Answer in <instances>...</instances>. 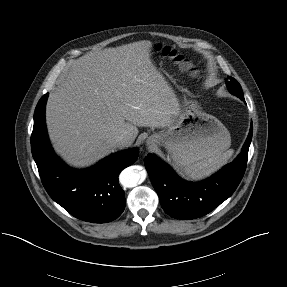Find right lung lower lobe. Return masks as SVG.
<instances>
[{"mask_svg":"<svg viewBox=\"0 0 287 287\" xmlns=\"http://www.w3.org/2000/svg\"><path fill=\"white\" fill-rule=\"evenodd\" d=\"M47 98L48 93L36 106L31 135L32 155L47 193L78 219L93 223L115 220L125 208V195L118 176L137 160L138 148L112 154L88 169L68 167L54 154L48 139L45 124Z\"/></svg>","mask_w":287,"mask_h":287,"instance_id":"right-lung-lower-lobe-1","label":"right lung lower lobe"}]
</instances>
